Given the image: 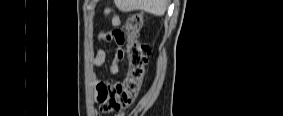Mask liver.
Wrapping results in <instances>:
<instances>
[{
    "label": "liver",
    "instance_id": "6515ba94",
    "mask_svg": "<svg viewBox=\"0 0 283 116\" xmlns=\"http://www.w3.org/2000/svg\"><path fill=\"white\" fill-rule=\"evenodd\" d=\"M115 4L122 12L141 10L161 16L167 9L168 0H115Z\"/></svg>",
    "mask_w": 283,
    "mask_h": 116
}]
</instances>
